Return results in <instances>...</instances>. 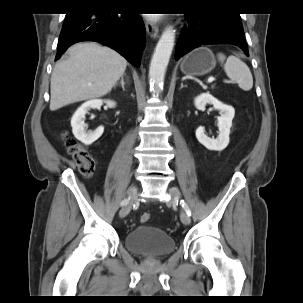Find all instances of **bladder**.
I'll return each mask as SVG.
<instances>
[{
    "mask_svg": "<svg viewBox=\"0 0 303 303\" xmlns=\"http://www.w3.org/2000/svg\"><path fill=\"white\" fill-rule=\"evenodd\" d=\"M125 248L141 257H165L176 249L172 236L151 225H139L125 236Z\"/></svg>",
    "mask_w": 303,
    "mask_h": 303,
    "instance_id": "bladder-1",
    "label": "bladder"
}]
</instances>
